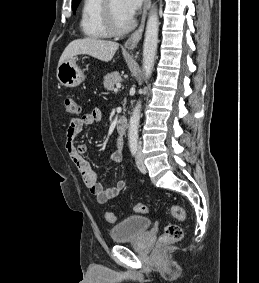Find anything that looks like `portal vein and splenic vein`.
I'll return each mask as SVG.
<instances>
[{"label": "portal vein and splenic vein", "mask_w": 259, "mask_h": 283, "mask_svg": "<svg viewBox=\"0 0 259 283\" xmlns=\"http://www.w3.org/2000/svg\"><path fill=\"white\" fill-rule=\"evenodd\" d=\"M120 88H121V84L118 83V84L116 85V88L114 89V91L117 92Z\"/></svg>", "instance_id": "18ae733b"}]
</instances>
